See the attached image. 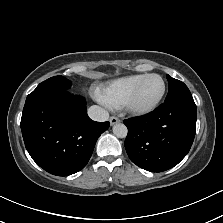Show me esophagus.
<instances>
[{"label": "esophagus", "mask_w": 223, "mask_h": 223, "mask_svg": "<svg viewBox=\"0 0 223 223\" xmlns=\"http://www.w3.org/2000/svg\"><path fill=\"white\" fill-rule=\"evenodd\" d=\"M109 121H110V124L111 125H114V124L119 123L120 122V119L118 117H116V116H111L110 119H109Z\"/></svg>", "instance_id": "34e87169"}]
</instances>
